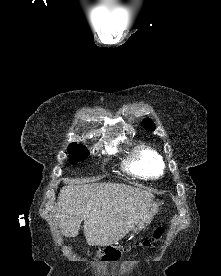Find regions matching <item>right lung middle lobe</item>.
Wrapping results in <instances>:
<instances>
[{
    "mask_svg": "<svg viewBox=\"0 0 221 276\" xmlns=\"http://www.w3.org/2000/svg\"><path fill=\"white\" fill-rule=\"evenodd\" d=\"M68 151L70 154L69 161L72 164H76L78 161L85 160L89 155L87 148L82 144H77V143L70 144L68 147Z\"/></svg>",
    "mask_w": 221,
    "mask_h": 276,
    "instance_id": "right-lung-middle-lobe-1",
    "label": "right lung middle lobe"
}]
</instances>
